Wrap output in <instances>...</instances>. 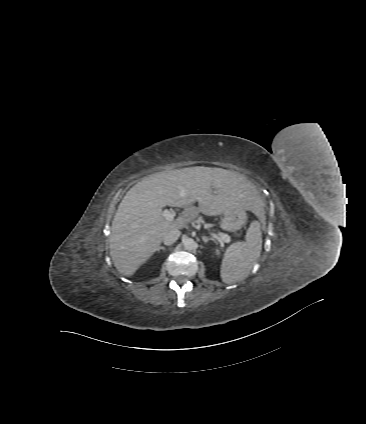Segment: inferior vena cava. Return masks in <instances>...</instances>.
<instances>
[{
	"mask_svg": "<svg viewBox=\"0 0 366 424\" xmlns=\"http://www.w3.org/2000/svg\"><path fill=\"white\" fill-rule=\"evenodd\" d=\"M180 235H181V232L179 229L170 230L163 237V242L165 245H172L173 243L177 241Z\"/></svg>",
	"mask_w": 366,
	"mask_h": 424,
	"instance_id": "inferior-vena-cava-1",
	"label": "inferior vena cava"
}]
</instances>
